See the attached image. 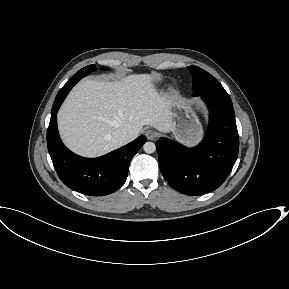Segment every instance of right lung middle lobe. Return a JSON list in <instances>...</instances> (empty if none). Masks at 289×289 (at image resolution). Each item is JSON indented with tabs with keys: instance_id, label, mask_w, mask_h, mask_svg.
Wrapping results in <instances>:
<instances>
[{
	"instance_id": "1",
	"label": "right lung middle lobe",
	"mask_w": 289,
	"mask_h": 289,
	"mask_svg": "<svg viewBox=\"0 0 289 289\" xmlns=\"http://www.w3.org/2000/svg\"><path fill=\"white\" fill-rule=\"evenodd\" d=\"M96 65H89V66H86L84 68H82L81 70H79L75 75L77 76H82V77H85L86 75H88L90 72L96 70Z\"/></svg>"
}]
</instances>
